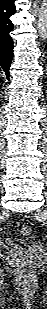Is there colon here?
I'll return each instance as SVG.
<instances>
[{
  "mask_svg": "<svg viewBox=\"0 0 47 309\" xmlns=\"http://www.w3.org/2000/svg\"><path fill=\"white\" fill-rule=\"evenodd\" d=\"M21 230H22V233L26 236L31 233V229L29 226H23Z\"/></svg>",
  "mask_w": 47,
  "mask_h": 309,
  "instance_id": "colon-1",
  "label": "colon"
}]
</instances>
